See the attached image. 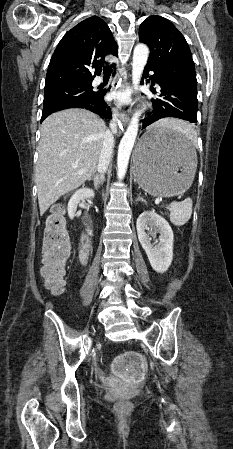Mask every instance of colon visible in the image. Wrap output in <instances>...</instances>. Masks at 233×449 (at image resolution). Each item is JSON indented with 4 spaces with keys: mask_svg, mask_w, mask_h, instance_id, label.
Returning <instances> with one entry per match:
<instances>
[{
    "mask_svg": "<svg viewBox=\"0 0 233 449\" xmlns=\"http://www.w3.org/2000/svg\"><path fill=\"white\" fill-rule=\"evenodd\" d=\"M64 206L55 204L52 207L44 230L42 241L43 266L42 275L49 288L59 293L64 288L65 264L69 258L70 240L64 220ZM126 404L119 402L118 410H124Z\"/></svg>",
    "mask_w": 233,
    "mask_h": 449,
    "instance_id": "colon-1",
    "label": "colon"
}]
</instances>
